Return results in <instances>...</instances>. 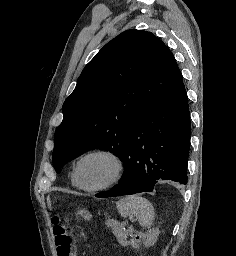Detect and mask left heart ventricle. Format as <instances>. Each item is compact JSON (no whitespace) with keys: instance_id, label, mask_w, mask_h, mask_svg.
<instances>
[{"instance_id":"left-heart-ventricle-1","label":"left heart ventricle","mask_w":236,"mask_h":256,"mask_svg":"<svg viewBox=\"0 0 236 256\" xmlns=\"http://www.w3.org/2000/svg\"><path fill=\"white\" fill-rule=\"evenodd\" d=\"M116 172L114 161L106 155H92L81 164V178L88 187L108 182Z\"/></svg>"}]
</instances>
